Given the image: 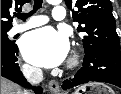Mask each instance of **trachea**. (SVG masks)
<instances>
[{
	"label": "trachea",
	"instance_id": "obj_1",
	"mask_svg": "<svg viewBox=\"0 0 121 94\" xmlns=\"http://www.w3.org/2000/svg\"><path fill=\"white\" fill-rule=\"evenodd\" d=\"M42 3H43V0H34V7H33V10L31 12H29V13H18L16 15V17L18 19L25 21L28 17L33 15L38 9H40L42 7Z\"/></svg>",
	"mask_w": 121,
	"mask_h": 94
}]
</instances>
